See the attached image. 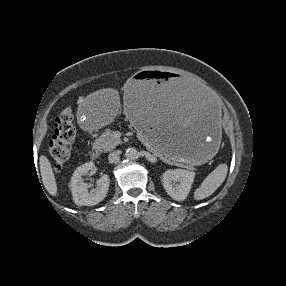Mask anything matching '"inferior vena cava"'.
Listing matches in <instances>:
<instances>
[{"mask_svg":"<svg viewBox=\"0 0 286 286\" xmlns=\"http://www.w3.org/2000/svg\"><path fill=\"white\" fill-rule=\"evenodd\" d=\"M120 154H121V151H119V150L111 152L108 156V161L110 163L115 162L119 158Z\"/></svg>","mask_w":286,"mask_h":286,"instance_id":"1","label":"inferior vena cava"}]
</instances>
